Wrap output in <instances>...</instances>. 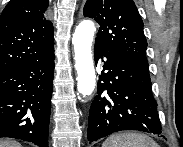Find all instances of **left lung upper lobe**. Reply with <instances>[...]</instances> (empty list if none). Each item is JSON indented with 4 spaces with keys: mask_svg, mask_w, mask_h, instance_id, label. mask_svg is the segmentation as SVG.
I'll use <instances>...</instances> for the list:
<instances>
[{
    "mask_svg": "<svg viewBox=\"0 0 183 147\" xmlns=\"http://www.w3.org/2000/svg\"><path fill=\"white\" fill-rule=\"evenodd\" d=\"M83 14L100 25L95 44L149 68L143 21L133 0H87Z\"/></svg>",
    "mask_w": 183,
    "mask_h": 147,
    "instance_id": "left-lung-upper-lobe-1",
    "label": "left lung upper lobe"
}]
</instances>
